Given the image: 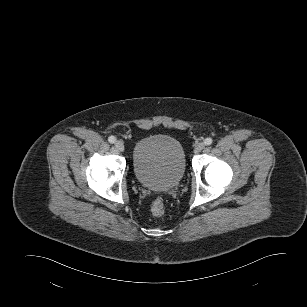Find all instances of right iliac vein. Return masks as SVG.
<instances>
[{
    "instance_id": "obj_1",
    "label": "right iliac vein",
    "mask_w": 307,
    "mask_h": 307,
    "mask_svg": "<svg viewBox=\"0 0 307 307\" xmlns=\"http://www.w3.org/2000/svg\"><path fill=\"white\" fill-rule=\"evenodd\" d=\"M115 147L121 152L124 151V143L121 140L115 142Z\"/></svg>"
}]
</instances>
